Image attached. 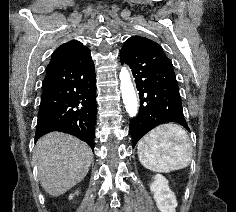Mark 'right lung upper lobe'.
Segmentation results:
<instances>
[{
  "label": "right lung upper lobe",
  "mask_w": 236,
  "mask_h": 212,
  "mask_svg": "<svg viewBox=\"0 0 236 212\" xmlns=\"http://www.w3.org/2000/svg\"><path fill=\"white\" fill-rule=\"evenodd\" d=\"M82 46V43L77 40H71L67 43H64L54 51L49 64L72 54L75 50L79 49Z\"/></svg>",
  "instance_id": "1"
}]
</instances>
